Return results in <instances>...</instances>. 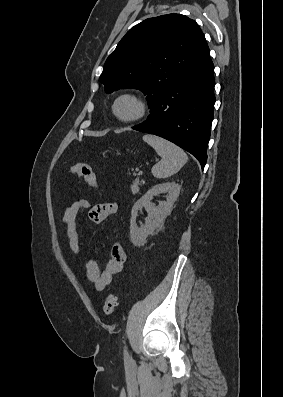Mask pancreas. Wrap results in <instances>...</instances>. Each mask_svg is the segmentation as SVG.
<instances>
[{"mask_svg": "<svg viewBox=\"0 0 283 397\" xmlns=\"http://www.w3.org/2000/svg\"><path fill=\"white\" fill-rule=\"evenodd\" d=\"M141 183L142 182L139 179H136V180L133 181V183L131 185V191H132L133 194H136V193L139 192V189H140L139 186L141 185Z\"/></svg>", "mask_w": 283, "mask_h": 397, "instance_id": "1", "label": "pancreas"}]
</instances>
